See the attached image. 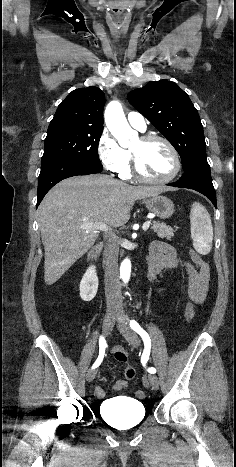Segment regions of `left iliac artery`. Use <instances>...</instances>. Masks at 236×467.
<instances>
[{"label":"left iliac artery","instance_id":"obj_1","mask_svg":"<svg viewBox=\"0 0 236 467\" xmlns=\"http://www.w3.org/2000/svg\"><path fill=\"white\" fill-rule=\"evenodd\" d=\"M130 327H131V329H133L136 333H138L140 335V337L142 338V340L144 342L145 349H144V352H143V355H142V364H143V366H145L146 362L149 359V355H150L151 339H150L148 333L139 325V323L137 321L131 320L130 321ZM148 372L156 373V369L154 367H151V368L148 369Z\"/></svg>","mask_w":236,"mask_h":467}]
</instances>
